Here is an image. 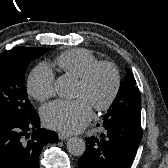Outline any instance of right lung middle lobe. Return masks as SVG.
<instances>
[{
	"label": "right lung middle lobe",
	"mask_w": 168,
	"mask_h": 168,
	"mask_svg": "<svg viewBox=\"0 0 168 168\" xmlns=\"http://www.w3.org/2000/svg\"><path fill=\"white\" fill-rule=\"evenodd\" d=\"M50 48L15 47L0 54V118L29 119L37 113L28 100L25 71Z\"/></svg>",
	"instance_id": "obj_1"
}]
</instances>
